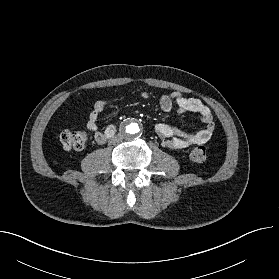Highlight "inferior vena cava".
<instances>
[{"instance_id":"obj_1","label":"inferior vena cava","mask_w":279,"mask_h":279,"mask_svg":"<svg viewBox=\"0 0 279 279\" xmlns=\"http://www.w3.org/2000/svg\"><path fill=\"white\" fill-rule=\"evenodd\" d=\"M123 141V136L120 134L115 135L114 137H112L111 142L113 144H119Z\"/></svg>"}]
</instances>
